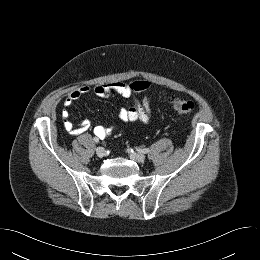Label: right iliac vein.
<instances>
[{"label": "right iliac vein", "mask_w": 260, "mask_h": 260, "mask_svg": "<svg viewBox=\"0 0 260 260\" xmlns=\"http://www.w3.org/2000/svg\"><path fill=\"white\" fill-rule=\"evenodd\" d=\"M96 154L99 158H103L106 154V151L103 147H97L96 148Z\"/></svg>", "instance_id": "right-iliac-vein-1"}]
</instances>
